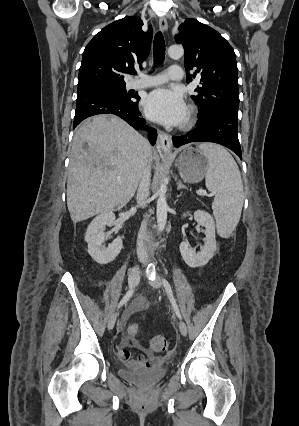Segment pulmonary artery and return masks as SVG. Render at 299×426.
Here are the masks:
<instances>
[{
  "label": "pulmonary artery",
  "instance_id": "1",
  "mask_svg": "<svg viewBox=\"0 0 299 426\" xmlns=\"http://www.w3.org/2000/svg\"><path fill=\"white\" fill-rule=\"evenodd\" d=\"M183 79V70L178 65L170 66L167 71L156 75H142L131 83L132 88H147L161 85L168 80L180 81Z\"/></svg>",
  "mask_w": 299,
  "mask_h": 426
}]
</instances>
